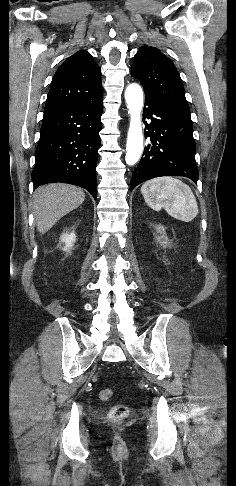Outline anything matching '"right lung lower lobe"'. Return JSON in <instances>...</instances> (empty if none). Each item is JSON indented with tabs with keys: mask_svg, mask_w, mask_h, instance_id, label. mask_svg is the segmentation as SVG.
Wrapping results in <instances>:
<instances>
[{
	"mask_svg": "<svg viewBox=\"0 0 236 486\" xmlns=\"http://www.w3.org/2000/svg\"><path fill=\"white\" fill-rule=\"evenodd\" d=\"M102 97L44 111L32 172L34 188L69 183L96 199V164L100 147Z\"/></svg>",
	"mask_w": 236,
	"mask_h": 486,
	"instance_id": "right-lung-lower-lobe-1",
	"label": "right lung lower lobe"
}]
</instances>
